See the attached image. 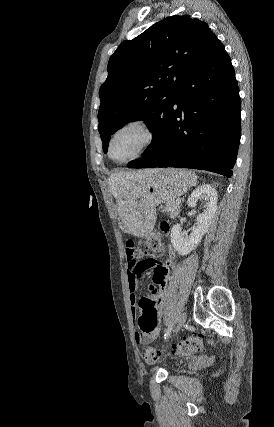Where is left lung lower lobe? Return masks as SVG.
<instances>
[{
  "label": "left lung lower lobe",
  "mask_w": 274,
  "mask_h": 427,
  "mask_svg": "<svg viewBox=\"0 0 274 427\" xmlns=\"http://www.w3.org/2000/svg\"><path fill=\"white\" fill-rule=\"evenodd\" d=\"M239 88L223 44L213 37L184 76L153 146L128 167H180L232 176L241 136Z\"/></svg>",
  "instance_id": "left-lung-lower-lobe-1"
}]
</instances>
